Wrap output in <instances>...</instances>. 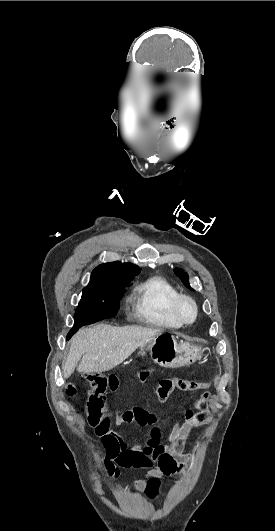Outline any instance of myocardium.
Instances as JSON below:
<instances>
[{"instance_id": "f54148a6", "label": "myocardium", "mask_w": 275, "mask_h": 531, "mask_svg": "<svg viewBox=\"0 0 275 531\" xmlns=\"http://www.w3.org/2000/svg\"><path fill=\"white\" fill-rule=\"evenodd\" d=\"M182 300L189 301L194 307V316L191 319H188V320L184 319L179 314L178 306ZM169 307H170V312L173 318L178 323L183 324V325L194 323L197 320L198 315H199V307H198L197 301L192 296L185 294V293H176L170 300Z\"/></svg>"}]
</instances>
